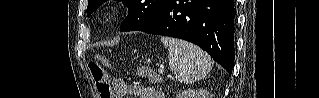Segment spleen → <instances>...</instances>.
Segmentation results:
<instances>
[{"label":"spleen","mask_w":319,"mask_h":98,"mask_svg":"<svg viewBox=\"0 0 319 98\" xmlns=\"http://www.w3.org/2000/svg\"><path fill=\"white\" fill-rule=\"evenodd\" d=\"M161 41L168 48L169 66L179 82L194 83L212 69L210 56L198 46L168 37H162Z\"/></svg>","instance_id":"obj_1"}]
</instances>
